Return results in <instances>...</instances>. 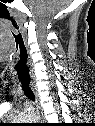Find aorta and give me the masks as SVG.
Returning <instances> with one entry per match:
<instances>
[{"label": "aorta", "mask_w": 95, "mask_h": 126, "mask_svg": "<svg viewBox=\"0 0 95 126\" xmlns=\"http://www.w3.org/2000/svg\"><path fill=\"white\" fill-rule=\"evenodd\" d=\"M31 119L35 121V120H36V117H35V116H32V118H31Z\"/></svg>", "instance_id": "obj_1"}]
</instances>
